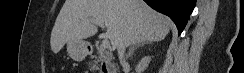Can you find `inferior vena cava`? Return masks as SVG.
<instances>
[{
    "mask_svg": "<svg viewBox=\"0 0 244 73\" xmlns=\"http://www.w3.org/2000/svg\"><path fill=\"white\" fill-rule=\"evenodd\" d=\"M125 49H126V42L123 41L119 47H118V56H119V59L121 61V63H124V53H125Z\"/></svg>",
    "mask_w": 244,
    "mask_h": 73,
    "instance_id": "602c4592",
    "label": "inferior vena cava"
}]
</instances>
